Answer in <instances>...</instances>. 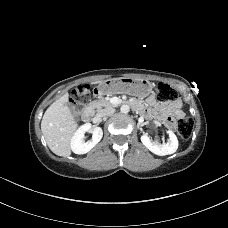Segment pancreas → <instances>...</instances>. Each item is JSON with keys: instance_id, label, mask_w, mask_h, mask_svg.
<instances>
[{"instance_id": "obj_1", "label": "pancreas", "mask_w": 228, "mask_h": 228, "mask_svg": "<svg viewBox=\"0 0 228 228\" xmlns=\"http://www.w3.org/2000/svg\"><path fill=\"white\" fill-rule=\"evenodd\" d=\"M90 106L94 109H96V112L100 113L102 112L105 108H111L114 105L111 104L108 100L101 98L99 100H95L92 103H90Z\"/></svg>"}]
</instances>
